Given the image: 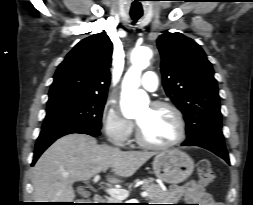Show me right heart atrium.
Listing matches in <instances>:
<instances>
[{"label": "right heart atrium", "mask_w": 253, "mask_h": 205, "mask_svg": "<svg viewBox=\"0 0 253 205\" xmlns=\"http://www.w3.org/2000/svg\"><path fill=\"white\" fill-rule=\"evenodd\" d=\"M101 125L107 139L117 146L125 145L133 132V123L110 102L103 107Z\"/></svg>", "instance_id": "d8ad5b80"}]
</instances>
